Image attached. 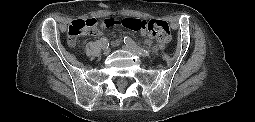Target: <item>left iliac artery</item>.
Wrapping results in <instances>:
<instances>
[{
	"label": "left iliac artery",
	"mask_w": 255,
	"mask_h": 122,
	"mask_svg": "<svg viewBox=\"0 0 255 122\" xmlns=\"http://www.w3.org/2000/svg\"><path fill=\"white\" fill-rule=\"evenodd\" d=\"M124 43L132 49L138 51L143 56H150V52L138 46L130 37L125 36L123 39Z\"/></svg>",
	"instance_id": "1"
}]
</instances>
